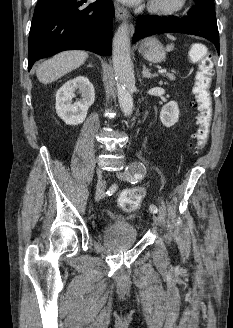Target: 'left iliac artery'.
<instances>
[{"instance_id":"1","label":"left iliac artery","mask_w":233,"mask_h":328,"mask_svg":"<svg viewBox=\"0 0 233 328\" xmlns=\"http://www.w3.org/2000/svg\"><path fill=\"white\" fill-rule=\"evenodd\" d=\"M142 177H143V174H141V173H135L134 178L131 180L132 184L137 183L140 179H142ZM149 209L153 213H157V211H158L157 206L154 205V204L150 205L149 206Z\"/></svg>"}]
</instances>
